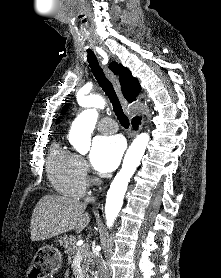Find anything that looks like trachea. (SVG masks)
<instances>
[{
    "mask_svg": "<svg viewBox=\"0 0 221 278\" xmlns=\"http://www.w3.org/2000/svg\"><path fill=\"white\" fill-rule=\"evenodd\" d=\"M86 51H87V61L89 63V66L91 68L94 77L96 78L98 84L100 85V87L103 89V91L109 98L113 107V111L117 116V119L119 120L121 125L127 129L129 127V119L123 112L122 106L116 95L112 83L106 78L103 69L99 65L94 52L89 48Z\"/></svg>",
    "mask_w": 221,
    "mask_h": 278,
    "instance_id": "3493384b",
    "label": "trachea"
}]
</instances>
